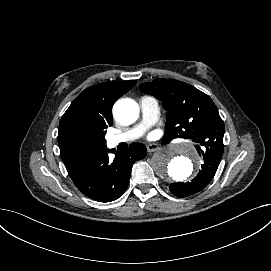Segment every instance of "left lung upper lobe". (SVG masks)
<instances>
[{
    "label": "left lung upper lobe",
    "instance_id": "left-lung-upper-lobe-1",
    "mask_svg": "<svg viewBox=\"0 0 271 271\" xmlns=\"http://www.w3.org/2000/svg\"><path fill=\"white\" fill-rule=\"evenodd\" d=\"M139 88L162 101L168 111L162 141L190 138L204 147L224 150V122L211 98L195 87L170 79H155Z\"/></svg>",
    "mask_w": 271,
    "mask_h": 271
}]
</instances>
